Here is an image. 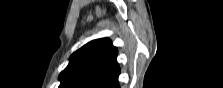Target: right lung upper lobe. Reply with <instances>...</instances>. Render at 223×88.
<instances>
[{
    "label": "right lung upper lobe",
    "instance_id": "1",
    "mask_svg": "<svg viewBox=\"0 0 223 88\" xmlns=\"http://www.w3.org/2000/svg\"><path fill=\"white\" fill-rule=\"evenodd\" d=\"M116 57L117 49L108 38L87 43L70 57L59 76V88H119Z\"/></svg>",
    "mask_w": 223,
    "mask_h": 88
}]
</instances>
